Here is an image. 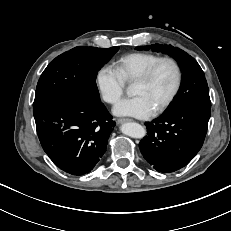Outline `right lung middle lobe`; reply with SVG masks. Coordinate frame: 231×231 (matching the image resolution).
I'll return each instance as SVG.
<instances>
[{
  "mask_svg": "<svg viewBox=\"0 0 231 231\" xmlns=\"http://www.w3.org/2000/svg\"><path fill=\"white\" fill-rule=\"evenodd\" d=\"M119 47H75L56 57L42 73L34 107L58 100L100 101L96 76Z\"/></svg>",
  "mask_w": 231,
  "mask_h": 231,
  "instance_id": "right-lung-middle-lobe-1",
  "label": "right lung middle lobe"
}]
</instances>
